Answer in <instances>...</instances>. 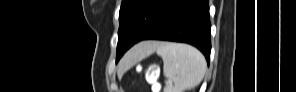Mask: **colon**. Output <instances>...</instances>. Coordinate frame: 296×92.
I'll return each instance as SVG.
<instances>
[{"label": "colon", "mask_w": 296, "mask_h": 92, "mask_svg": "<svg viewBox=\"0 0 296 92\" xmlns=\"http://www.w3.org/2000/svg\"><path fill=\"white\" fill-rule=\"evenodd\" d=\"M145 73L149 80L154 81L157 78V67L155 65L150 66L145 70Z\"/></svg>", "instance_id": "colon-1"}]
</instances>
